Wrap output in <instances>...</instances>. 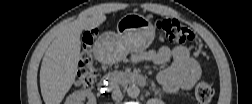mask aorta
<instances>
[{
  "instance_id": "1",
  "label": "aorta",
  "mask_w": 252,
  "mask_h": 104,
  "mask_svg": "<svg viewBox=\"0 0 252 104\" xmlns=\"http://www.w3.org/2000/svg\"><path fill=\"white\" fill-rule=\"evenodd\" d=\"M126 91L130 98H137L140 94V89L136 85H130Z\"/></svg>"
}]
</instances>
